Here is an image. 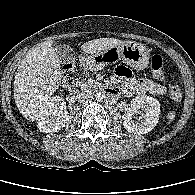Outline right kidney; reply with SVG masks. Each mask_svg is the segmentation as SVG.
<instances>
[{"instance_id":"right-kidney-1","label":"right kidney","mask_w":195,"mask_h":195,"mask_svg":"<svg viewBox=\"0 0 195 195\" xmlns=\"http://www.w3.org/2000/svg\"><path fill=\"white\" fill-rule=\"evenodd\" d=\"M68 112L64 100L59 96H53L42 107L38 128L41 132H57L68 121Z\"/></svg>"}]
</instances>
